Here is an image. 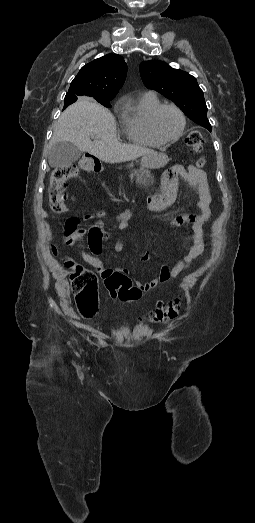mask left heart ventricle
Returning <instances> with one entry per match:
<instances>
[{
    "label": "left heart ventricle",
    "mask_w": 255,
    "mask_h": 523,
    "mask_svg": "<svg viewBox=\"0 0 255 523\" xmlns=\"http://www.w3.org/2000/svg\"><path fill=\"white\" fill-rule=\"evenodd\" d=\"M158 134L165 139L175 137L181 128V118L173 108L160 111L155 122Z\"/></svg>",
    "instance_id": "left-heart-ventricle-1"
}]
</instances>
